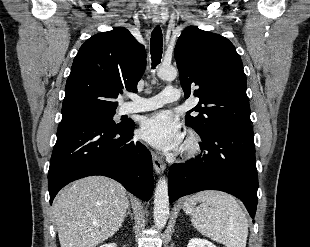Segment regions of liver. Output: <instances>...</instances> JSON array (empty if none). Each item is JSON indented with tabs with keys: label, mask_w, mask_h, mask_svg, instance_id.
Listing matches in <instances>:
<instances>
[{
	"label": "liver",
	"mask_w": 310,
	"mask_h": 247,
	"mask_svg": "<svg viewBox=\"0 0 310 247\" xmlns=\"http://www.w3.org/2000/svg\"><path fill=\"white\" fill-rule=\"evenodd\" d=\"M129 200L125 188L103 176L85 177L61 190L53 216L61 247H95L122 226Z\"/></svg>",
	"instance_id": "obj_1"
}]
</instances>
